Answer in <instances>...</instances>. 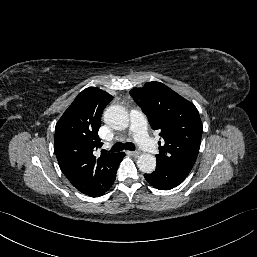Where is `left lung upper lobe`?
<instances>
[{"mask_svg": "<svg viewBox=\"0 0 257 257\" xmlns=\"http://www.w3.org/2000/svg\"><path fill=\"white\" fill-rule=\"evenodd\" d=\"M130 95L147 115L151 128L159 130L164 139L156 155L157 164L188 176L197 159L203 132L197 108L160 82L133 88Z\"/></svg>", "mask_w": 257, "mask_h": 257, "instance_id": "5c2ea615", "label": "left lung upper lobe"}]
</instances>
